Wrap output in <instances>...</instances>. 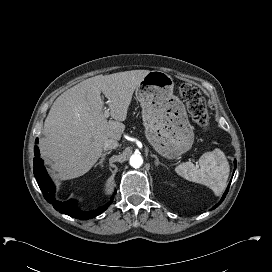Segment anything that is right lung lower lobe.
<instances>
[{"label": "right lung lower lobe", "instance_id": "obj_1", "mask_svg": "<svg viewBox=\"0 0 272 272\" xmlns=\"http://www.w3.org/2000/svg\"><path fill=\"white\" fill-rule=\"evenodd\" d=\"M38 143V139H36V144ZM34 175L37 180V183L40 189L43 192L44 198L47 202L51 203L53 207L62 214H67L71 217L78 219H91L95 216L103 213L112 200L105 206L100 207L94 211H82L77 207L76 200H68L66 202H61L55 199V186L51 179L49 178L47 171L43 165V161L40 158L39 148L37 146L34 147ZM115 194V193H114Z\"/></svg>", "mask_w": 272, "mask_h": 272}]
</instances>
